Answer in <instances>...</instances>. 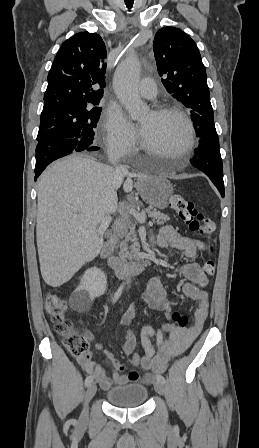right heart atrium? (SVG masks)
Masks as SVG:
<instances>
[{
    "label": "right heart atrium",
    "instance_id": "right-heart-atrium-1",
    "mask_svg": "<svg viewBox=\"0 0 259 448\" xmlns=\"http://www.w3.org/2000/svg\"><path fill=\"white\" fill-rule=\"evenodd\" d=\"M100 142L103 151L111 152L112 157H128L140 145L137 132L119 109L110 110L105 117Z\"/></svg>",
    "mask_w": 259,
    "mask_h": 448
}]
</instances>
